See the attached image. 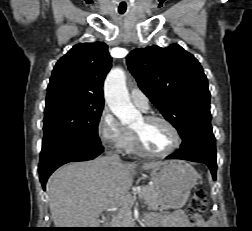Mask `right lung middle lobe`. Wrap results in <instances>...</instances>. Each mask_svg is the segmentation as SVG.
Instances as JSON below:
<instances>
[{
    "label": "right lung middle lobe",
    "instance_id": "right-lung-middle-lobe-1",
    "mask_svg": "<svg viewBox=\"0 0 252 231\" xmlns=\"http://www.w3.org/2000/svg\"><path fill=\"white\" fill-rule=\"evenodd\" d=\"M103 106L68 96L46 99L43 146L62 139L100 143L97 128Z\"/></svg>",
    "mask_w": 252,
    "mask_h": 231
}]
</instances>
